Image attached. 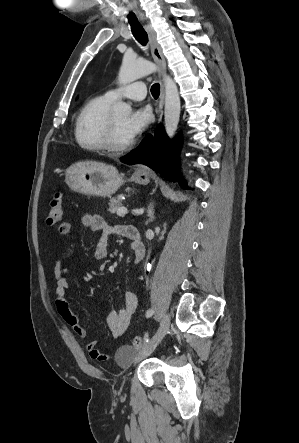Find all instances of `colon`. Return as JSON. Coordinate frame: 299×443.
Returning <instances> with one entry per match:
<instances>
[{
  "instance_id": "5ec220e1",
  "label": "colon",
  "mask_w": 299,
  "mask_h": 443,
  "mask_svg": "<svg viewBox=\"0 0 299 443\" xmlns=\"http://www.w3.org/2000/svg\"><path fill=\"white\" fill-rule=\"evenodd\" d=\"M62 217V193L56 192L51 197L49 204L46 209V222L50 226L58 224ZM132 347L140 350L143 347V340L140 337H134L131 341ZM131 353L129 347L123 348L118 353V360L120 362H125Z\"/></svg>"
}]
</instances>
